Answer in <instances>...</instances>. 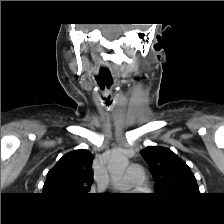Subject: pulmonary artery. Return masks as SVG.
Wrapping results in <instances>:
<instances>
[{
	"mask_svg": "<svg viewBox=\"0 0 224 224\" xmlns=\"http://www.w3.org/2000/svg\"><path fill=\"white\" fill-rule=\"evenodd\" d=\"M145 176L143 169L136 164L130 165L124 177L116 182L112 188L115 190H122L129 187H140L144 184Z\"/></svg>",
	"mask_w": 224,
	"mask_h": 224,
	"instance_id": "obj_1",
	"label": "pulmonary artery"
}]
</instances>
